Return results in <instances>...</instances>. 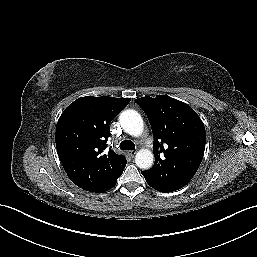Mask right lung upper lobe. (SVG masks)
Masks as SVG:
<instances>
[{
	"mask_svg": "<svg viewBox=\"0 0 257 257\" xmlns=\"http://www.w3.org/2000/svg\"><path fill=\"white\" fill-rule=\"evenodd\" d=\"M130 99L109 96L81 97L61 114L56 125V148L70 180L90 191L103 187L126 166V159L113 150L105 151L111 120Z\"/></svg>",
	"mask_w": 257,
	"mask_h": 257,
	"instance_id": "right-lung-upper-lobe-1",
	"label": "right lung upper lobe"
}]
</instances>
